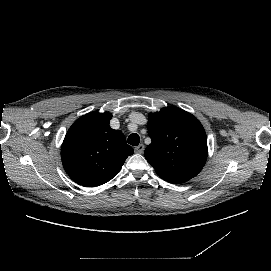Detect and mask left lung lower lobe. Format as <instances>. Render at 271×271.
Listing matches in <instances>:
<instances>
[{"label": "left lung lower lobe", "instance_id": "1", "mask_svg": "<svg viewBox=\"0 0 271 271\" xmlns=\"http://www.w3.org/2000/svg\"><path fill=\"white\" fill-rule=\"evenodd\" d=\"M165 181H168L170 183H182L185 181H188L190 179L182 177V176H176V175H158Z\"/></svg>", "mask_w": 271, "mask_h": 271}]
</instances>
